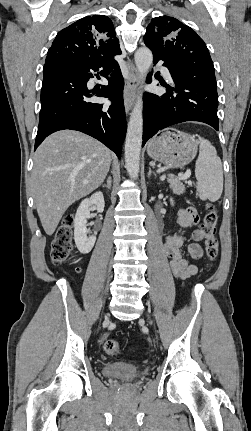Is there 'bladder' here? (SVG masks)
Listing matches in <instances>:
<instances>
[{
  "label": "bladder",
  "instance_id": "obj_1",
  "mask_svg": "<svg viewBox=\"0 0 251 431\" xmlns=\"http://www.w3.org/2000/svg\"><path fill=\"white\" fill-rule=\"evenodd\" d=\"M102 374L107 378L132 381L140 379L143 371L137 366L126 362H112L102 368Z\"/></svg>",
  "mask_w": 251,
  "mask_h": 431
}]
</instances>
